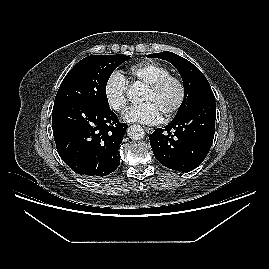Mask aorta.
I'll use <instances>...</instances> for the list:
<instances>
[{
    "instance_id": "762f6f07",
    "label": "aorta",
    "mask_w": 269,
    "mask_h": 269,
    "mask_svg": "<svg viewBox=\"0 0 269 269\" xmlns=\"http://www.w3.org/2000/svg\"><path fill=\"white\" fill-rule=\"evenodd\" d=\"M139 94V89L136 86H133L129 90V95L134 97ZM127 135L132 140H140L144 137V130L140 125H132L127 130Z\"/></svg>"
}]
</instances>
